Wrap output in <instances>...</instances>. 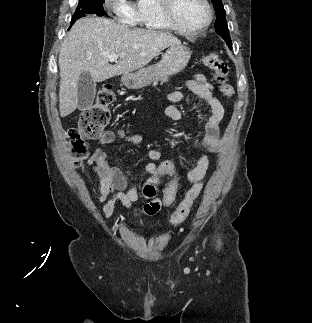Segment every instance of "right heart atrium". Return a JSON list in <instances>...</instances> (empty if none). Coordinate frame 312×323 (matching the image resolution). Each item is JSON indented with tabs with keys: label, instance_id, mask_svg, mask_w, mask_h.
Listing matches in <instances>:
<instances>
[{
	"label": "right heart atrium",
	"instance_id": "d8ad5b80",
	"mask_svg": "<svg viewBox=\"0 0 312 323\" xmlns=\"http://www.w3.org/2000/svg\"><path fill=\"white\" fill-rule=\"evenodd\" d=\"M107 5L109 13H119L120 17H138L139 11L133 10L132 6H127L125 0H103Z\"/></svg>",
	"mask_w": 312,
	"mask_h": 323
}]
</instances>
